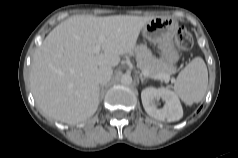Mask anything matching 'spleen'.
<instances>
[{"label":"spleen","instance_id":"spleen-1","mask_svg":"<svg viewBox=\"0 0 238 158\" xmlns=\"http://www.w3.org/2000/svg\"><path fill=\"white\" fill-rule=\"evenodd\" d=\"M208 71L201 57L194 58L180 71L174 84V94L185 104L200 102L207 90Z\"/></svg>","mask_w":238,"mask_h":158}]
</instances>
